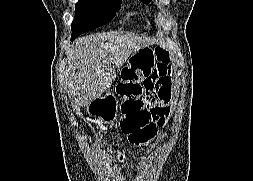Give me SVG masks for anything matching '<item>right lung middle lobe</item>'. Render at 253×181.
I'll use <instances>...</instances> for the list:
<instances>
[{"mask_svg":"<svg viewBox=\"0 0 253 181\" xmlns=\"http://www.w3.org/2000/svg\"><path fill=\"white\" fill-rule=\"evenodd\" d=\"M120 5V0H79L71 25V37L76 38L82 33L110 22L120 10Z\"/></svg>","mask_w":253,"mask_h":181,"instance_id":"dd1d6c3e","label":"right lung middle lobe"}]
</instances>
